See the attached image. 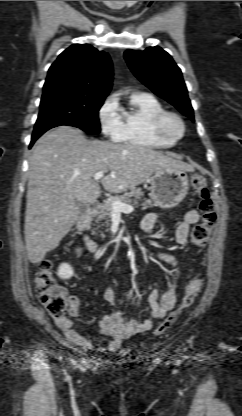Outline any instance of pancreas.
Masks as SVG:
<instances>
[{"label":"pancreas","mask_w":242,"mask_h":416,"mask_svg":"<svg viewBox=\"0 0 242 416\" xmlns=\"http://www.w3.org/2000/svg\"><path fill=\"white\" fill-rule=\"evenodd\" d=\"M144 196V193L141 191V189L133 188L130 192H126L121 196L116 197H110L107 200H105L101 205L98 206L97 210L93 213V217L95 218V222L99 224L101 220H105L106 225H109V219L111 217V214L113 212L112 209V203L114 201H120L124 204H135L137 205L139 201H141V197ZM149 207H152V203L150 200H145V202L142 203V209H147ZM102 225H98L100 227Z\"/></svg>","instance_id":"obj_1"}]
</instances>
